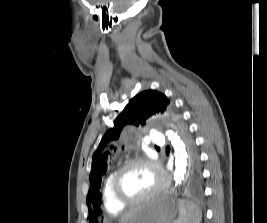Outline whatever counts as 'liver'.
<instances>
[{
    "instance_id": "obj_1",
    "label": "liver",
    "mask_w": 267,
    "mask_h": 223,
    "mask_svg": "<svg viewBox=\"0 0 267 223\" xmlns=\"http://www.w3.org/2000/svg\"><path fill=\"white\" fill-rule=\"evenodd\" d=\"M133 211H134V209H132V210L126 212V213L121 217V219H120V223H125V222L129 219V217L132 215Z\"/></svg>"
}]
</instances>
